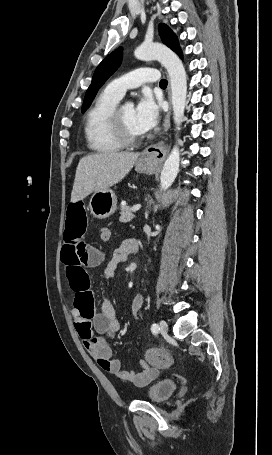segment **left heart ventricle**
<instances>
[{"instance_id":"obj_1","label":"left heart ventricle","mask_w":272,"mask_h":455,"mask_svg":"<svg viewBox=\"0 0 272 455\" xmlns=\"http://www.w3.org/2000/svg\"><path fill=\"white\" fill-rule=\"evenodd\" d=\"M122 118L127 131L134 136H140L141 133L135 125V112L132 106H124L122 109Z\"/></svg>"}]
</instances>
